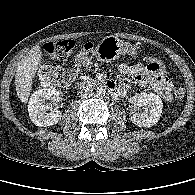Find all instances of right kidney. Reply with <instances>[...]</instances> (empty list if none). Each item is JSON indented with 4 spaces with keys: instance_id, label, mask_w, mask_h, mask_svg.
Returning <instances> with one entry per match:
<instances>
[{
    "instance_id": "ca27d5eb",
    "label": "right kidney",
    "mask_w": 195,
    "mask_h": 195,
    "mask_svg": "<svg viewBox=\"0 0 195 195\" xmlns=\"http://www.w3.org/2000/svg\"><path fill=\"white\" fill-rule=\"evenodd\" d=\"M61 92L56 89L44 88L35 91L28 103L29 117L33 124L40 127L51 126L61 120L62 114L48 105L51 99H59ZM50 110L48 113L47 111Z\"/></svg>"
}]
</instances>
